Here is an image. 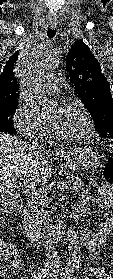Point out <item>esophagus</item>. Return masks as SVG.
I'll return each mask as SVG.
<instances>
[{"instance_id": "esophagus-1", "label": "esophagus", "mask_w": 113, "mask_h": 279, "mask_svg": "<svg viewBox=\"0 0 113 279\" xmlns=\"http://www.w3.org/2000/svg\"><path fill=\"white\" fill-rule=\"evenodd\" d=\"M50 27H51V28H54V27H55V24H51Z\"/></svg>"}]
</instances>
